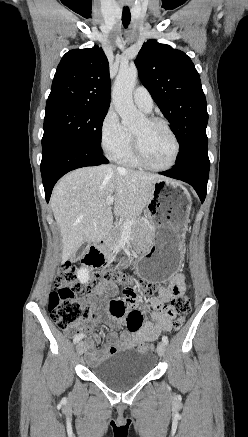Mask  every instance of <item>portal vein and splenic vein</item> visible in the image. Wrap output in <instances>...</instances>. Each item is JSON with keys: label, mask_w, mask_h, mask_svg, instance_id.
Segmentation results:
<instances>
[{"label": "portal vein and splenic vein", "mask_w": 248, "mask_h": 437, "mask_svg": "<svg viewBox=\"0 0 248 437\" xmlns=\"http://www.w3.org/2000/svg\"><path fill=\"white\" fill-rule=\"evenodd\" d=\"M106 203H107L108 206H111V205L114 203V197H113V196L108 197L107 200H106ZM134 223H135V220H133V219H132V220H127V221L125 222V224H124V229H125V230L130 229L131 226H132Z\"/></svg>", "instance_id": "obj_1"}]
</instances>
